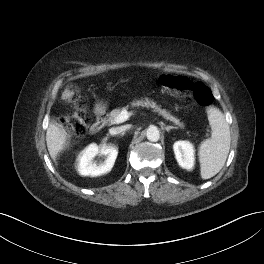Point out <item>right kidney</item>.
Returning a JSON list of instances; mask_svg holds the SVG:
<instances>
[{
	"mask_svg": "<svg viewBox=\"0 0 264 264\" xmlns=\"http://www.w3.org/2000/svg\"><path fill=\"white\" fill-rule=\"evenodd\" d=\"M104 155V162L96 163L94 157ZM118 155V150L114 146H104L99 148L96 144L87 146L78 156L77 170L82 176H99L111 171Z\"/></svg>",
	"mask_w": 264,
	"mask_h": 264,
	"instance_id": "1",
	"label": "right kidney"
}]
</instances>
